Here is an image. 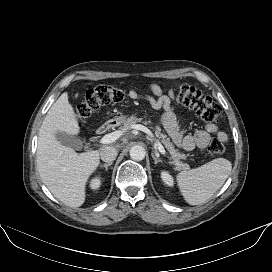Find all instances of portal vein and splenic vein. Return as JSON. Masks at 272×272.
<instances>
[{"label": "portal vein and splenic vein", "mask_w": 272, "mask_h": 272, "mask_svg": "<svg viewBox=\"0 0 272 272\" xmlns=\"http://www.w3.org/2000/svg\"><path fill=\"white\" fill-rule=\"evenodd\" d=\"M131 128L143 131V132H145V133H147V134H149V135L152 136L151 131L147 127H145L143 125L134 124V125L131 126ZM123 132H124V130L123 131H115V132L106 134L105 136H103L100 139L99 143L103 144V145L113 143V142H115L118 138H120L123 135ZM156 147H157V149L159 150V152L161 154H163L164 156H166V151H165L163 145L159 141H157V140H156Z\"/></svg>", "instance_id": "18ae733b"}]
</instances>
